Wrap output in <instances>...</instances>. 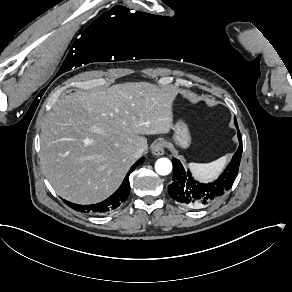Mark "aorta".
Instances as JSON below:
<instances>
[{"label": "aorta", "mask_w": 292, "mask_h": 292, "mask_svg": "<svg viewBox=\"0 0 292 292\" xmlns=\"http://www.w3.org/2000/svg\"><path fill=\"white\" fill-rule=\"evenodd\" d=\"M155 170L159 175H168L172 170V163L167 158H160L156 161Z\"/></svg>", "instance_id": "aorta-1"}]
</instances>
